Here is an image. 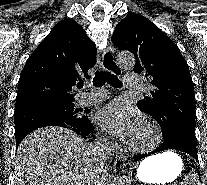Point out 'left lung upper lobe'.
I'll list each match as a JSON object with an SVG mask.
<instances>
[{"label": "left lung upper lobe", "mask_w": 207, "mask_h": 185, "mask_svg": "<svg viewBox=\"0 0 207 185\" xmlns=\"http://www.w3.org/2000/svg\"><path fill=\"white\" fill-rule=\"evenodd\" d=\"M112 42L132 52L134 72L151 80V96L138 101V108L158 122L164 139L177 133L196 146L194 86L177 45L149 19L133 13L117 24Z\"/></svg>", "instance_id": "1"}]
</instances>
